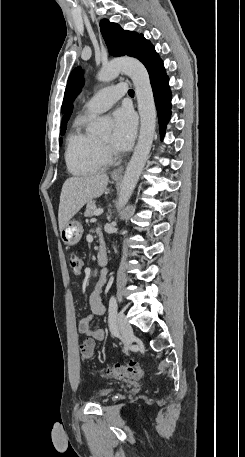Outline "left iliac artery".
Masks as SVG:
<instances>
[{
    "instance_id": "44dca946",
    "label": "left iliac artery",
    "mask_w": 245,
    "mask_h": 457,
    "mask_svg": "<svg viewBox=\"0 0 245 457\" xmlns=\"http://www.w3.org/2000/svg\"><path fill=\"white\" fill-rule=\"evenodd\" d=\"M117 301L114 296H111L109 300V309H108V323H109V328L110 331L113 335L117 334V329L115 325V319H116V314H117Z\"/></svg>"
}]
</instances>
